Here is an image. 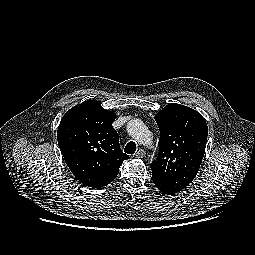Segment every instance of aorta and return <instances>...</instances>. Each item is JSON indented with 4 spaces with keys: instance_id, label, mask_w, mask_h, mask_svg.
I'll return each mask as SVG.
<instances>
[{
    "instance_id": "1",
    "label": "aorta",
    "mask_w": 255,
    "mask_h": 255,
    "mask_svg": "<svg viewBox=\"0 0 255 255\" xmlns=\"http://www.w3.org/2000/svg\"><path fill=\"white\" fill-rule=\"evenodd\" d=\"M127 131L130 136L137 141L146 144L145 138L149 135L148 131L140 119H133L127 124Z\"/></svg>"
}]
</instances>
